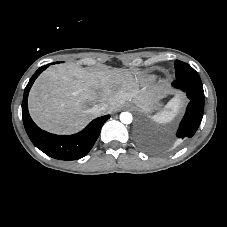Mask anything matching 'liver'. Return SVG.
Returning a JSON list of instances; mask_svg holds the SVG:
<instances>
[{"label": "liver", "mask_w": 227, "mask_h": 227, "mask_svg": "<svg viewBox=\"0 0 227 227\" xmlns=\"http://www.w3.org/2000/svg\"><path fill=\"white\" fill-rule=\"evenodd\" d=\"M157 92L127 69L85 70L60 64L48 68L35 81L28 108L40 128L71 134L95 117L91 108L97 103H107L109 113L131 100L148 109L159 98Z\"/></svg>", "instance_id": "1"}]
</instances>
